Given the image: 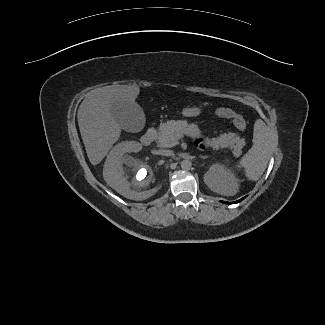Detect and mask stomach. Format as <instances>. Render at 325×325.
<instances>
[{
	"label": "stomach",
	"mask_w": 325,
	"mask_h": 325,
	"mask_svg": "<svg viewBox=\"0 0 325 325\" xmlns=\"http://www.w3.org/2000/svg\"><path fill=\"white\" fill-rule=\"evenodd\" d=\"M183 115L186 117H192V116H197L201 113V109L198 107H193V108H185L183 109Z\"/></svg>",
	"instance_id": "stomach-1"
}]
</instances>
